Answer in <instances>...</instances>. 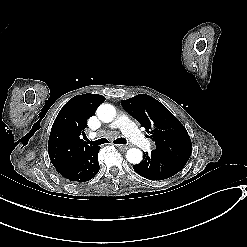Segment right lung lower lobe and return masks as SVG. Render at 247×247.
<instances>
[{"mask_svg":"<svg viewBox=\"0 0 247 247\" xmlns=\"http://www.w3.org/2000/svg\"><path fill=\"white\" fill-rule=\"evenodd\" d=\"M100 147H91L73 162L69 167L59 173L66 179L74 182L91 180L99 171L98 152Z\"/></svg>","mask_w":247,"mask_h":247,"instance_id":"right-lung-lower-lobe-1","label":"right lung lower lobe"}]
</instances>
